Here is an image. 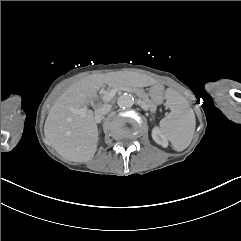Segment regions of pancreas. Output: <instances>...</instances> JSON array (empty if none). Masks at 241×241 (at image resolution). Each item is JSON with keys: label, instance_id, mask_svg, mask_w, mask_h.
Wrapping results in <instances>:
<instances>
[{"label": "pancreas", "instance_id": "obj_1", "mask_svg": "<svg viewBox=\"0 0 241 241\" xmlns=\"http://www.w3.org/2000/svg\"><path fill=\"white\" fill-rule=\"evenodd\" d=\"M113 88L117 89V88H124V89H128L130 91H132L134 94H138V97H141V99H143L144 103H148V106L152 109L153 106V101H151L148 97H146V94H144L143 92L140 91L139 88H135V87H128L127 85H120L117 84L116 86H114ZM108 92L111 91V86H109Z\"/></svg>", "mask_w": 241, "mask_h": 241}]
</instances>
